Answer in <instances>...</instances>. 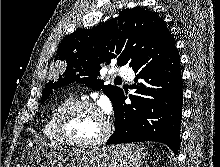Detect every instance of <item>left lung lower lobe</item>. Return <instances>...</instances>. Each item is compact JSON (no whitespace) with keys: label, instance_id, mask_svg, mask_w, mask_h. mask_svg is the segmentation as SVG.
I'll return each instance as SVG.
<instances>
[{"label":"left lung lower lobe","instance_id":"1","mask_svg":"<svg viewBox=\"0 0 220 167\" xmlns=\"http://www.w3.org/2000/svg\"><path fill=\"white\" fill-rule=\"evenodd\" d=\"M133 70L135 95L129 105L124 93L114 104L116 127L106 144L158 141L178 154L183 103L178 50Z\"/></svg>","mask_w":220,"mask_h":167}]
</instances>
